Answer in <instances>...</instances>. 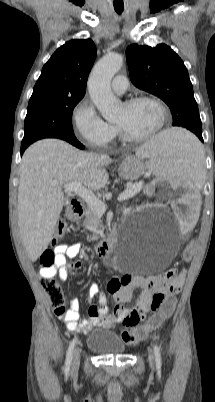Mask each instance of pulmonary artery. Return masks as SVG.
<instances>
[{
	"mask_svg": "<svg viewBox=\"0 0 215 402\" xmlns=\"http://www.w3.org/2000/svg\"><path fill=\"white\" fill-rule=\"evenodd\" d=\"M111 86L115 93L122 95L128 88V79L124 75H117L113 79Z\"/></svg>",
	"mask_w": 215,
	"mask_h": 402,
	"instance_id": "1",
	"label": "pulmonary artery"
}]
</instances>
